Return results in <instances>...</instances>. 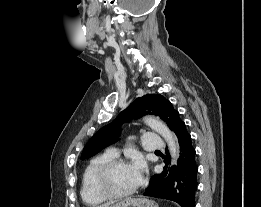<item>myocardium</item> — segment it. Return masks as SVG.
Listing matches in <instances>:
<instances>
[{
	"instance_id": "1",
	"label": "myocardium",
	"mask_w": 261,
	"mask_h": 207,
	"mask_svg": "<svg viewBox=\"0 0 261 207\" xmlns=\"http://www.w3.org/2000/svg\"><path fill=\"white\" fill-rule=\"evenodd\" d=\"M122 165H129L124 159L115 158L101 167L96 177V185L99 192L107 199H120L128 197L136 192L138 184L125 192H117L110 185V177L115 168Z\"/></svg>"
}]
</instances>
